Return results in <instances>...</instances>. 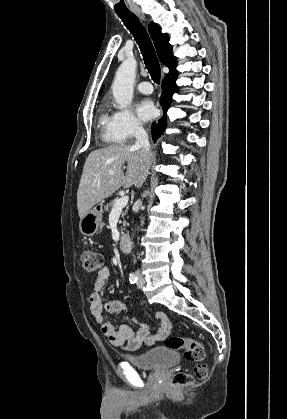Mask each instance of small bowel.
Here are the masks:
<instances>
[{
    "label": "small bowel",
    "mask_w": 287,
    "mask_h": 419,
    "mask_svg": "<svg viewBox=\"0 0 287 419\" xmlns=\"http://www.w3.org/2000/svg\"><path fill=\"white\" fill-rule=\"evenodd\" d=\"M110 276V270L107 267L101 269L95 279L94 290L89 297L90 312L100 325L101 331L110 343L116 347L135 351L141 347L142 344L151 345L157 340L165 339L171 332V323L164 312H157L155 317L159 322L155 334H150V329L143 324L137 331H134L126 324H121L119 328L108 322L104 316L103 311L109 313H116L126 310L125 304L120 300H113L104 303L101 297V290L104 288L106 280ZM135 322H137L135 320Z\"/></svg>",
    "instance_id": "c3829d8e"
}]
</instances>
